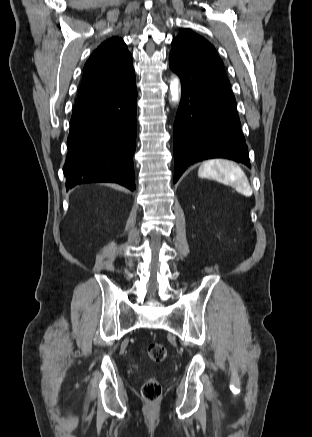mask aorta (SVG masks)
<instances>
[{"instance_id":"aorta-1","label":"aorta","mask_w":312,"mask_h":437,"mask_svg":"<svg viewBox=\"0 0 312 437\" xmlns=\"http://www.w3.org/2000/svg\"><path fill=\"white\" fill-rule=\"evenodd\" d=\"M170 91L172 95V101L177 102L179 100V93H180L179 80L177 78H174L171 81Z\"/></svg>"}]
</instances>
